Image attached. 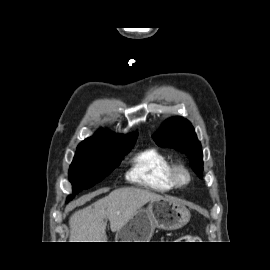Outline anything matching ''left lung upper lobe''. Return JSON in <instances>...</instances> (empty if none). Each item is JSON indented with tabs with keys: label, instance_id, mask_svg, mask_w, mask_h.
Returning a JSON list of instances; mask_svg holds the SVG:
<instances>
[{
	"label": "left lung upper lobe",
	"instance_id": "5c2ea615",
	"mask_svg": "<svg viewBox=\"0 0 270 270\" xmlns=\"http://www.w3.org/2000/svg\"><path fill=\"white\" fill-rule=\"evenodd\" d=\"M153 138L159 146L171 147L184 152L192 159L190 162L192 169L199 176H202L203 155L201 144L188 120L182 117L168 119Z\"/></svg>",
	"mask_w": 270,
	"mask_h": 270
}]
</instances>
